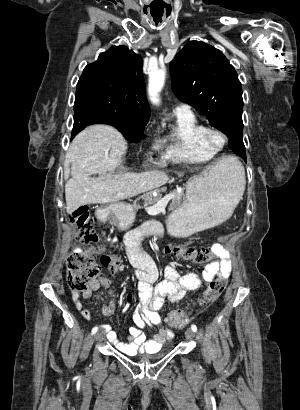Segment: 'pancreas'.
<instances>
[{"instance_id": "pancreas-1", "label": "pancreas", "mask_w": 300, "mask_h": 410, "mask_svg": "<svg viewBox=\"0 0 300 410\" xmlns=\"http://www.w3.org/2000/svg\"><path fill=\"white\" fill-rule=\"evenodd\" d=\"M175 195L172 198L171 203L169 204V209L170 210H174L177 207L180 206L182 199L184 197V193L180 192L177 193L176 191L173 192ZM160 196L154 197L152 192L146 193L144 195H142L141 197L137 198V200H135L133 207L135 209H139L140 205L139 203H137L139 200H144V205H152V204H156L159 200H160Z\"/></svg>"}]
</instances>
